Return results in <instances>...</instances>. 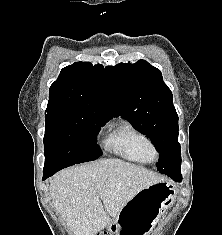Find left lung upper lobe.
I'll list each match as a JSON object with an SVG mask.
<instances>
[{
    "label": "left lung upper lobe",
    "mask_w": 222,
    "mask_h": 235,
    "mask_svg": "<svg viewBox=\"0 0 222 235\" xmlns=\"http://www.w3.org/2000/svg\"><path fill=\"white\" fill-rule=\"evenodd\" d=\"M106 70L119 115L147 135L159 151L158 172L181 176L178 115L160 70L145 60L120 63Z\"/></svg>",
    "instance_id": "obj_1"
}]
</instances>
